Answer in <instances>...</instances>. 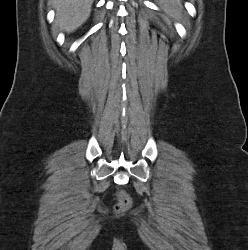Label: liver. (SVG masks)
<instances>
[{
  "mask_svg": "<svg viewBox=\"0 0 248 250\" xmlns=\"http://www.w3.org/2000/svg\"><path fill=\"white\" fill-rule=\"evenodd\" d=\"M51 3L56 12L55 24L71 33L89 18L93 0H52Z\"/></svg>",
  "mask_w": 248,
  "mask_h": 250,
  "instance_id": "liver-1",
  "label": "liver"
}]
</instances>
